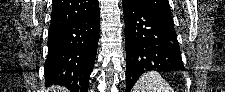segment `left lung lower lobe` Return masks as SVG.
<instances>
[{
	"label": "left lung lower lobe",
	"mask_w": 225,
	"mask_h": 92,
	"mask_svg": "<svg viewBox=\"0 0 225 92\" xmlns=\"http://www.w3.org/2000/svg\"><path fill=\"white\" fill-rule=\"evenodd\" d=\"M125 13L127 84L130 92L146 71H184L172 15L122 0Z\"/></svg>",
	"instance_id": "0a47b994"
}]
</instances>
